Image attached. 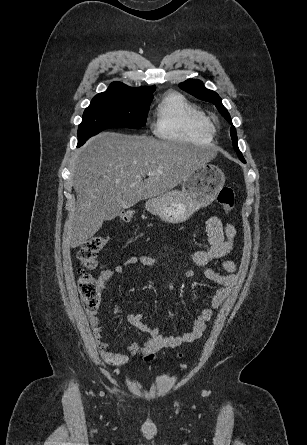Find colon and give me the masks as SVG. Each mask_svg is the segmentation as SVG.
<instances>
[{
  "label": "colon",
  "mask_w": 307,
  "mask_h": 445,
  "mask_svg": "<svg viewBox=\"0 0 307 445\" xmlns=\"http://www.w3.org/2000/svg\"><path fill=\"white\" fill-rule=\"evenodd\" d=\"M218 203L226 213L230 212L234 206V192L230 187H222L217 197ZM124 222L132 219V213L127 211L120 215ZM106 236H94L88 239L78 251V259L85 270H94L99 267L98 255L106 245ZM78 285L84 308L87 312H95L101 300L102 287L96 277L82 271L79 274Z\"/></svg>",
  "instance_id": "obj_1"
}]
</instances>
